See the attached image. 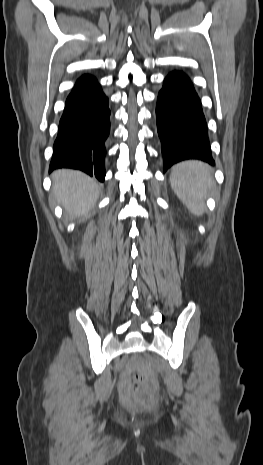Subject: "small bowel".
<instances>
[{
    "mask_svg": "<svg viewBox=\"0 0 263 465\" xmlns=\"http://www.w3.org/2000/svg\"><path fill=\"white\" fill-rule=\"evenodd\" d=\"M135 366L130 365L122 376L120 383V394L125 401H128L132 391L131 374L135 371Z\"/></svg>",
    "mask_w": 263,
    "mask_h": 465,
    "instance_id": "small-bowel-1",
    "label": "small bowel"
}]
</instances>
